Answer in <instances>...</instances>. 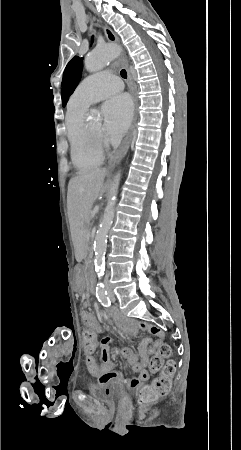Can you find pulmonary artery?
I'll return each mask as SVG.
<instances>
[{
    "label": "pulmonary artery",
    "instance_id": "e3ab8cb5",
    "mask_svg": "<svg viewBox=\"0 0 241 450\" xmlns=\"http://www.w3.org/2000/svg\"><path fill=\"white\" fill-rule=\"evenodd\" d=\"M82 84H85V86L74 93L72 100L91 105L109 97H114L117 88L122 85V80L117 78L115 74L99 71L98 75L84 79Z\"/></svg>",
    "mask_w": 241,
    "mask_h": 450
}]
</instances>
